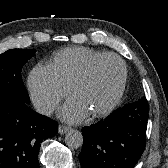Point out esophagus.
I'll use <instances>...</instances> for the list:
<instances>
[{
  "mask_svg": "<svg viewBox=\"0 0 168 168\" xmlns=\"http://www.w3.org/2000/svg\"><path fill=\"white\" fill-rule=\"evenodd\" d=\"M69 130H70V127H68V126H65V125H59L58 126V133L61 134V135L65 134Z\"/></svg>",
  "mask_w": 168,
  "mask_h": 168,
  "instance_id": "esophagus-1",
  "label": "esophagus"
}]
</instances>
